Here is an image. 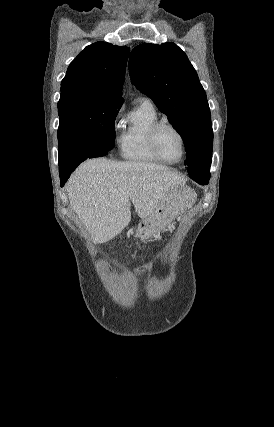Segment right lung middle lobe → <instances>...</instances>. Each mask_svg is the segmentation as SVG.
<instances>
[{
    "mask_svg": "<svg viewBox=\"0 0 274 427\" xmlns=\"http://www.w3.org/2000/svg\"><path fill=\"white\" fill-rule=\"evenodd\" d=\"M122 103L91 100L58 107L59 167L114 148V122Z\"/></svg>",
    "mask_w": 274,
    "mask_h": 427,
    "instance_id": "dd1d6c3e",
    "label": "right lung middle lobe"
}]
</instances>
